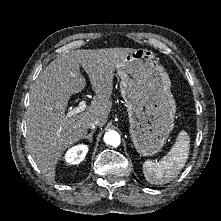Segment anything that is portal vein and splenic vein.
Wrapping results in <instances>:
<instances>
[{
    "instance_id": "portal-vein-and-splenic-vein-1",
    "label": "portal vein and splenic vein",
    "mask_w": 221,
    "mask_h": 221,
    "mask_svg": "<svg viewBox=\"0 0 221 221\" xmlns=\"http://www.w3.org/2000/svg\"><path fill=\"white\" fill-rule=\"evenodd\" d=\"M87 107L86 100H82L79 102V105L67 113V116L70 117L72 115L83 112Z\"/></svg>"
}]
</instances>
